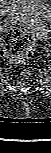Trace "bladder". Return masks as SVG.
I'll return each instance as SVG.
<instances>
[{
  "label": "bladder",
  "mask_w": 51,
  "mask_h": 153,
  "mask_svg": "<svg viewBox=\"0 0 51 153\" xmlns=\"http://www.w3.org/2000/svg\"><path fill=\"white\" fill-rule=\"evenodd\" d=\"M0 9L4 14H18L25 17H50L51 9L47 0H0Z\"/></svg>",
  "instance_id": "1"
}]
</instances>
